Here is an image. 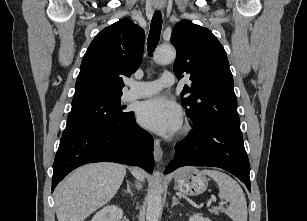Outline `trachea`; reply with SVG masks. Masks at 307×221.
<instances>
[{"instance_id": "obj_1", "label": "trachea", "mask_w": 307, "mask_h": 221, "mask_svg": "<svg viewBox=\"0 0 307 221\" xmlns=\"http://www.w3.org/2000/svg\"><path fill=\"white\" fill-rule=\"evenodd\" d=\"M162 28V15L160 11H156L153 15L150 32L147 40V50L151 56L158 45Z\"/></svg>"}]
</instances>
